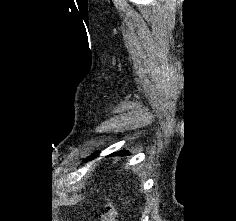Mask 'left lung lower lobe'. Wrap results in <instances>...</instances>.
<instances>
[{
	"label": "left lung lower lobe",
	"instance_id": "0a47b994",
	"mask_svg": "<svg viewBox=\"0 0 236 221\" xmlns=\"http://www.w3.org/2000/svg\"><path fill=\"white\" fill-rule=\"evenodd\" d=\"M126 154H127V152H125V151H119L118 153H113V154H110L109 156H114V155L122 156V155H126ZM90 159H91V157L88 160H90Z\"/></svg>",
	"mask_w": 236,
	"mask_h": 221
}]
</instances>
